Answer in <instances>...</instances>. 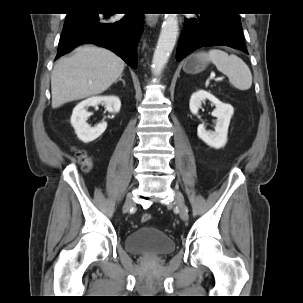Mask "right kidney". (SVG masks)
I'll use <instances>...</instances> for the list:
<instances>
[{
  "mask_svg": "<svg viewBox=\"0 0 303 303\" xmlns=\"http://www.w3.org/2000/svg\"><path fill=\"white\" fill-rule=\"evenodd\" d=\"M104 104L109 113H118L121 108V101L116 96H98L91 97L80 102L73 109L71 116V124L75 129V133L79 140L84 143H89L101 136L107 128V123H99L95 127H91L87 122V118L91 115L87 111L90 106Z\"/></svg>",
  "mask_w": 303,
  "mask_h": 303,
  "instance_id": "right-kidney-1",
  "label": "right kidney"
}]
</instances>
